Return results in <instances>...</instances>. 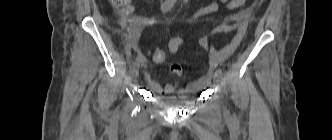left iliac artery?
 I'll list each match as a JSON object with an SVG mask.
<instances>
[{"mask_svg": "<svg viewBox=\"0 0 332 140\" xmlns=\"http://www.w3.org/2000/svg\"><path fill=\"white\" fill-rule=\"evenodd\" d=\"M187 1H188V0H184L185 3H186ZM216 73L223 77V72H222V70H221L220 68L217 69Z\"/></svg>", "mask_w": 332, "mask_h": 140, "instance_id": "obj_1", "label": "left iliac artery"}]
</instances>
